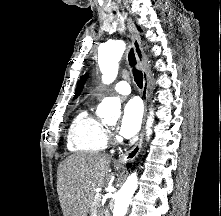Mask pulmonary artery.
Listing matches in <instances>:
<instances>
[{
  "label": "pulmonary artery",
  "instance_id": "obj_1",
  "mask_svg": "<svg viewBox=\"0 0 221 216\" xmlns=\"http://www.w3.org/2000/svg\"><path fill=\"white\" fill-rule=\"evenodd\" d=\"M113 89L114 91L122 95H128L131 92L130 85L126 80L118 81L114 85Z\"/></svg>",
  "mask_w": 221,
  "mask_h": 216
}]
</instances>
